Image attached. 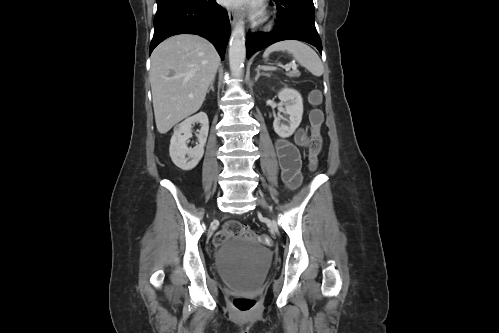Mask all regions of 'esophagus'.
<instances>
[{"instance_id": "obj_1", "label": "esophagus", "mask_w": 499, "mask_h": 333, "mask_svg": "<svg viewBox=\"0 0 499 333\" xmlns=\"http://www.w3.org/2000/svg\"><path fill=\"white\" fill-rule=\"evenodd\" d=\"M229 21L232 26L235 25L237 20V12L233 9H229L228 11Z\"/></svg>"}]
</instances>
